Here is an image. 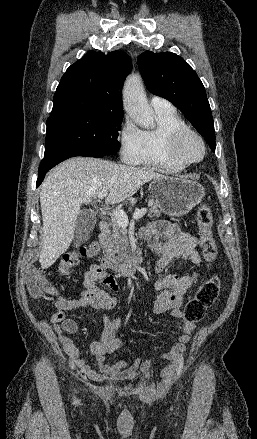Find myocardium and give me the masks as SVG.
<instances>
[{"label": "myocardium", "instance_id": "myocardium-1", "mask_svg": "<svg viewBox=\"0 0 257 439\" xmlns=\"http://www.w3.org/2000/svg\"><path fill=\"white\" fill-rule=\"evenodd\" d=\"M189 137L196 138L202 146V155L197 160L187 159L182 154L181 146L184 143V141ZM167 146H168L169 155L173 159V161L184 167H188L202 162L207 154V146L203 136L197 131L192 130L188 127L173 132L168 138Z\"/></svg>", "mask_w": 257, "mask_h": 439}]
</instances>
